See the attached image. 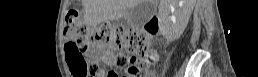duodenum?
Wrapping results in <instances>:
<instances>
[{
	"mask_svg": "<svg viewBox=\"0 0 258 77\" xmlns=\"http://www.w3.org/2000/svg\"><path fill=\"white\" fill-rule=\"evenodd\" d=\"M148 32L155 35L158 31V24L156 19H151L147 24Z\"/></svg>",
	"mask_w": 258,
	"mask_h": 77,
	"instance_id": "obj_1",
	"label": "duodenum"
}]
</instances>
